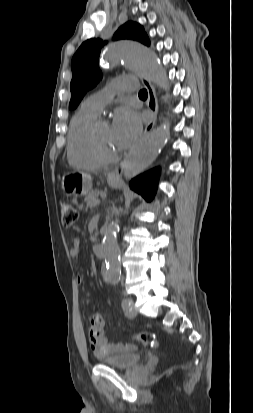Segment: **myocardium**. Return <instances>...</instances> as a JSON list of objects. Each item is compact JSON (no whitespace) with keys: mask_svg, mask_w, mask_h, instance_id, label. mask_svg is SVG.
Listing matches in <instances>:
<instances>
[{"mask_svg":"<svg viewBox=\"0 0 253 413\" xmlns=\"http://www.w3.org/2000/svg\"><path fill=\"white\" fill-rule=\"evenodd\" d=\"M104 123V120L97 119L91 126L89 132V143L94 155L103 163H111L120 157L119 150L108 151L104 149L98 139V128Z\"/></svg>","mask_w":253,"mask_h":413,"instance_id":"1","label":"myocardium"}]
</instances>
